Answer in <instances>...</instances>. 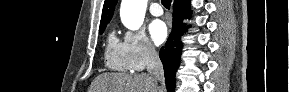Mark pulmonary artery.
Instances as JSON below:
<instances>
[{"mask_svg":"<svg viewBox=\"0 0 289 92\" xmlns=\"http://www.w3.org/2000/svg\"><path fill=\"white\" fill-rule=\"evenodd\" d=\"M149 10L153 16H161L163 14L162 7L156 2L151 4Z\"/></svg>","mask_w":289,"mask_h":92,"instance_id":"1","label":"pulmonary artery"}]
</instances>
